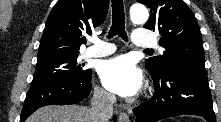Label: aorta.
<instances>
[{"mask_svg":"<svg viewBox=\"0 0 221 122\" xmlns=\"http://www.w3.org/2000/svg\"><path fill=\"white\" fill-rule=\"evenodd\" d=\"M130 18L135 24H144L148 18L149 13L143 4H134L130 8Z\"/></svg>","mask_w":221,"mask_h":122,"instance_id":"aorta-1","label":"aorta"}]
</instances>
